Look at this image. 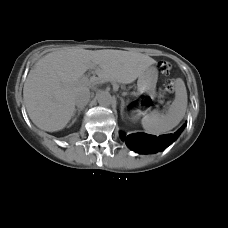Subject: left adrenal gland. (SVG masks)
Returning <instances> with one entry per match:
<instances>
[{"mask_svg": "<svg viewBox=\"0 0 228 228\" xmlns=\"http://www.w3.org/2000/svg\"><path fill=\"white\" fill-rule=\"evenodd\" d=\"M124 107H125V101L121 99V114L123 115L124 113Z\"/></svg>", "mask_w": 228, "mask_h": 228, "instance_id": "a2214340", "label": "left adrenal gland"}]
</instances>
